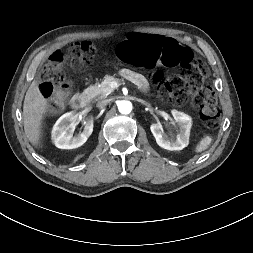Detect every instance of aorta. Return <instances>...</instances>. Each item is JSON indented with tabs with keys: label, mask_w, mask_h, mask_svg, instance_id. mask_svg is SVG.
Wrapping results in <instances>:
<instances>
[{
	"label": "aorta",
	"mask_w": 253,
	"mask_h": 253,
	"mask_svg": "<svg viewBox=\"0 0 253 253\" xmlns=\"http://www.w3.org/2000/svg\"><path fill=\"white\" fill-rule=\"evenodd\" d=\"M118 109L121 114H129L132 111V103L127 100H123L118 104Z\"/></svg>",
	"instance_id": "1"
}]
</instances>
